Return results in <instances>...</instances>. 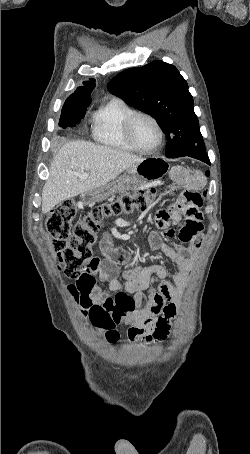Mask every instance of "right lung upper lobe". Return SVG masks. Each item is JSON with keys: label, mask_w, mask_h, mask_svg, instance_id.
<instances>
[{"label": "right lung upper lobe", "mask_w": 250, "mask_h": 454, "mask_svg": "<svg viewBox=\"0 0 250 454\" xmlns=\"http://www.w3.org/2000/svg\"><path fill=\"white\" fill-rule=\"evenodd\" d=\"M95 87V80L91 79L89 82H84V86L78 87L66 100L65 104H76L91 102V92Z\"/></svg>", "instance_id": "obj_1"}]
</instances>
